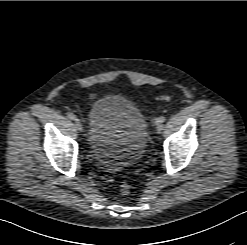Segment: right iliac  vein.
Returning <instances> with one entry per match:
<instances>
[{
    "label": "right iliac vein",
    "mask_w": 247,
    "mask_h": 245,
    "mask_svg": "<svg viewBox=\"0 0 247 245\" xmlns=\"http://www.w3.org/2000/svg\"><path fill=\"white\" fill-rule=\"evenodd\" d=\"M75 126H76L77 130H79V131L83 130L82 124H81L80 120H78V119H75Z\"/></svg>",
    "instance_id": "right-iliac-vein-1"
}]
</instances>
